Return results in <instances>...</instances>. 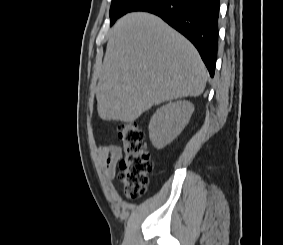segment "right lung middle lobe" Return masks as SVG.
<instances>
[{"instance_id":"dd1d6c3e","label":"right lung middle lobe","mask_w":283,"mask_h":245,"mask_svg":"<svg viewBox=\"0 0 283 245\" xmlns=\"http://www.w3.org/2000/svg\"><path fill=\"white\" fill-rule=\"evenodd\" d=\"M144 0H112L110 8V20L111 25L116 21L117 18L130 12L137 4Z\"/></svg>"}]
</instances>
